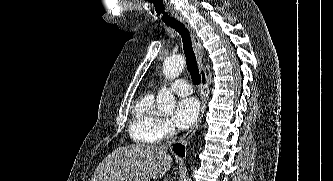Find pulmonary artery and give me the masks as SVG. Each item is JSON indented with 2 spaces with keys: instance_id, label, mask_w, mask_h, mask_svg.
<instances>
[{
  "instance_id": "e3ab8cb5",
  "label": "pulmonary artery",
  "mask_w": 333,
  "mask_h": 181,
  "mask_svg": "<svg viewBox=\"0 0 333 181\" xmlns=\"http://www.w3.org/2000/svg\"><path fill=\"white\" fill-rule=\"evenodd\" d=\"M172 91L179 96H188L192 93L191 86L183 80H178L176 81L172 86H171Z\"/></svg>"
}]
</instances>
